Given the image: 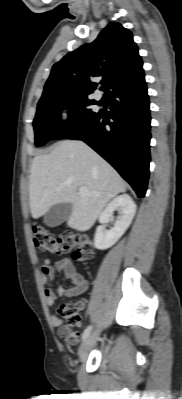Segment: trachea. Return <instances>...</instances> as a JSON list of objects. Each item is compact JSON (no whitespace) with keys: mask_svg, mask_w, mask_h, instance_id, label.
<instances>
[{"mask_svg":"<svg viewBox=\"0 0 182 399\" xmlns=\"http://www.w3.org/2000/svg\"><path fill=\"white\" fill-rule=\"evenodd\" d=\"M105 82H106L105 80L102 81V83H105Z\"/></svg>","mask_w":182,"mask_h":399,"instance_id":"trachea-1","label":"trachea"}]
</instances>
